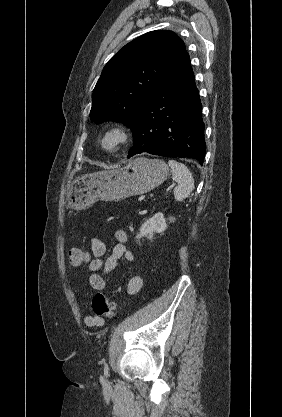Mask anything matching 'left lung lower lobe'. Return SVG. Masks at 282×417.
<instances>
[{
    "instance_id": "left-lung-lower-lobe-1",
    "label": "left lung lower lobe",
    "mask_w": 282,
    "mask_h": 417,
    "mask_svg": "<svg viewBox=\"0 0 282 417\" xmlns=\"http://www.w3.org/2000/svg\"><path fill=\"white\" fill-rule=\"evenodd\" d=\"M134 145L128 158L140 153L195 158L206 152L202 105L190 58L185 52L168 70L137 112Z\"/></svg>"
}]
</instances>
